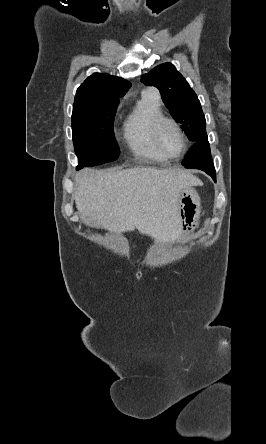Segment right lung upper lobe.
Masks as SVG:
<instances>
[{
	"mask_svg": "<svg viewBox=\"0 0 266 444\" xmlns=\"http://www.w3.org/2000/svg\"><path fill=\"white\" fill-rule=\"evenodd\" d=\"M130 86L129 81L120 77L95 73L77 89L73 107H81L102 100H119Z\"/></svg>",
	"mask_w": 266,
	"mask_h": 444,
	"instance_id": "obj_1",
	"label": "right lung upper lobe"
}]
</instances>
